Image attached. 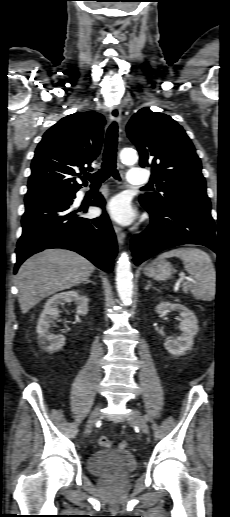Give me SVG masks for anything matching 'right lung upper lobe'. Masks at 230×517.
Listing matches in <instances>:
<instances>
[{
	"mask_svg": "<svg viewBox=\"0 0 230 517\" xmlns=\"http://www.w3.org/2000/svg\"><path fill=\"white\" fill-rule=\"evenodd\" d=\"M104 125L100 113L77 112L45 132L32 160L25 202L75 194L81 185L74 176L79 175L78 170L89 169L85 166L98 156Z\"/></svg>",
	"mask_w": 230,
	"mask_h": 517,
	"instance_id": "1",
	"label": "right lung upper lobe"
}]
</instances>
